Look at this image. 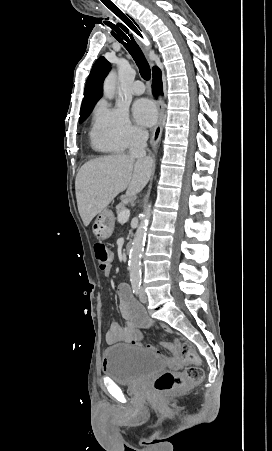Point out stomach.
<instances>
[{
  "label": "stomach",
  "instance_id": "stomach-1",
  "mask_svg": "<svg viewBox=\"0 0 272 451\" xmlns=\"http://www.w3.org/2000/svg\"><path fill=\"white\" fill-rule=\"evenodd\" d=\"M115 226V218L111 210L104 208L100 214H98L93 226L92 231L96 235L97 239H107L113 233Z\"/></svg>",
  "mask_w": 272,
  "mask_h": 451
}]
</instances>
